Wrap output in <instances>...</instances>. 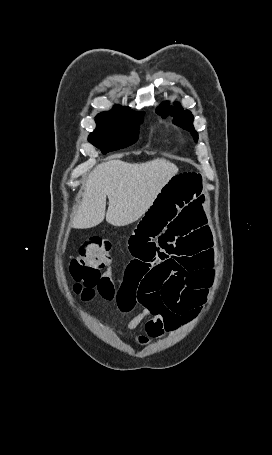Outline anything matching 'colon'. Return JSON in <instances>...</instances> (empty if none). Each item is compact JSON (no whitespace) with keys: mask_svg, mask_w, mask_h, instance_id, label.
Returning <instances> with one entry per match:
<instances>
[{"mask_svg":"<svg viewBox=\"0 0 272 455\" xmlns=\"http://www.w3.org/2000/svg\"><path fill=\"white\" fill-rule=\"evenodd\" d=\"M111 242L101 237H91L80 247L79 254L70 263V273L75 281L73 291L83 302L91 301L98 293L106 300H113L117 290L109 274L113 264ZM106 268L107 272L101 274Z\"/></svg>","mask_w":272,"mask_h":455,"instance_id":"1","label":"colon"}]
</instances>
